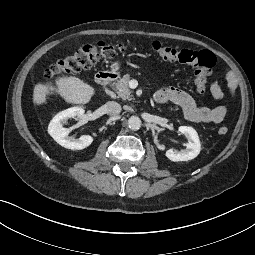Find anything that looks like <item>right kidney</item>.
Wrapping results in <instances>:
<instances>
[{"mask_svg": "<svg viewBox=\"0 0 255 255\" xmlns=\"http://www.w3.org/2000/svg\"><path fill=\"white\" fill-rule=\"evenodd\" d=\"M84 109L80 107H71L58 113L48 126V133L61 146L71 150H82L87 148L93 142V137L83 135L79 139L68 138L70 130L63 127L64 121L69 118L83 117Z\"/></svg>", "mask_w": 255, "mask_h": 255, "instance_id": "1", "label": "right kidney"}]
</instances>
